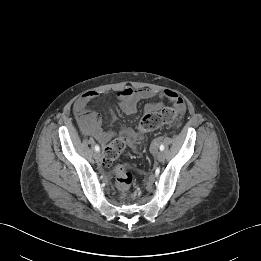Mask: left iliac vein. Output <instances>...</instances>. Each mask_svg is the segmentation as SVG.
<instances>
[{
	"label": "left iliac vein",
	"mask_w": 261,
	"mask_h": 261,
	"mask_svg": "<svg viewBox=\"0 0 261 261\" xmlns=\"http://www.w3.org/2000/svg\"><path fill=\"white\" fill-rule=\"evenodd\" d=\"M155 157L158 162H163L165 159L164 153L162 151H158L155 153Z\"/></svg>",
	"instance_id": "4c4485c4"
}]
</instances>
